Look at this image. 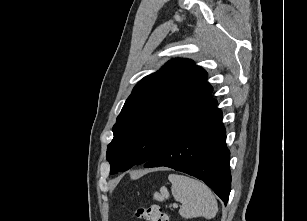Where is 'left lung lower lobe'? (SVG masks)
<instances>
[{
    "instance_id": "left-lung-lower-lobe-1",
    "label": "left lung lower lobe",
    "mask_w": 307,
    "mask_h": 221,
    "mask_svg": "<svg viewBox=\"0 0 307 221\" xmlns=\"http://www.w3.org/2000/svg\"><path fill=\"white\" fill-rule=\"evenodd\" d=\"M222 112L216 104L168 141L144 167L166 166L204 181L227 204L231 191L230 152Z\"/></svg>"
}]
</instances>
